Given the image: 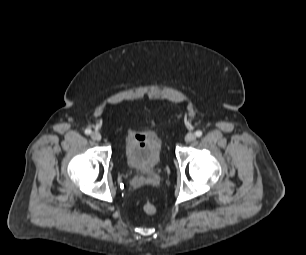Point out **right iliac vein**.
I'll return each instance as SVG.
<instances>
[{"label": "right iliac vein", "mask_w": 306, "mask_h": 255, "mask_svg": "<svg viewBox=\"0 0 306 255\" xmlns=\"http://www.w3.org/2000/svg\"><path fill=\"white\" fill-rule=\"evenodd\" d=\"M91 138H92L93 140H95V141H100L102 137H101V134H100L99 132L93 131V132L91 133Z\"/></svg>", "instance_id": "1"}]
</instances>
